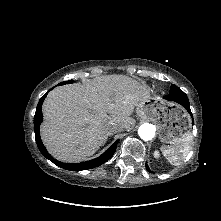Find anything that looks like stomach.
I'll list each match as a JSON object with an SVG mask.
<instances>
[{
	"instance_id": "stomach-1",
	"label": "stomach",
	"mask_w": 221,
	"mask_h": 221,
	"mask_svg": "<svg viewBox=\"0 0 221 221\" xmlns=\"http://www.w3.org/2000/svg\"><path fill=\"white\" fill-rule=\"evenodd\" d=\"M136 113L140 119L152 120L157 124L163 143H175L191 126L188 114L180 106L163 101L160 97L148 96L143 99L138 103Z\"/></svg>"
}]
</instances>
